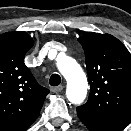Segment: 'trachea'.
I'll list each match as a JSON object with an SVG mask.
<instances>
[{
    "instance_id": "1",
    "label": "trachea",
    "mask_w": 131,
    "mask_h": 131,
    "mask_svg": "<svg viewBox=\"0 0 131 131\" xmlns=\"http://www.w3.org/2000/svg\"><path fill=\"white\" fill-rule=\"evenodd\" d=\"M61 82V77L58 74H53L50 77L49 83L51 86H58Z\"/></svg>"
}]
</instances>
